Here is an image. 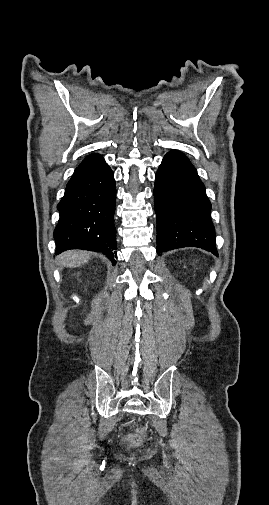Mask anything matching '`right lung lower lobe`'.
Listing matches in <instances>:
<instances>
[{"label":"right lung lower lobe","mask_w":269,"mask_h":505,"mask_svg":"<svg viewBox=\"0 0 269 505\" xmlns=\"http://www.w3.org/2000/svg\"><path fill=\"white\" fill-rule=\"evenodd\" d=\"M116 188L113 171L99 154L87 156L74 171L57 209L56 254L69 249L100 252L117 258L113 224Z\"/></svg>","instance_id":"obj_1"}]
</instances>
